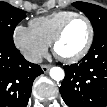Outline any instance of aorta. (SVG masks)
Wrapping results in <instances>:
<instances>
[{
  "instance_id": "obj_1",
  "label": "aorta",
  "mask_w": 107,
  "mask_h": 107,
  "mask_svg": "<svg viewBox=\"0 0 107 107\" xmlns=\"http://www.w3.org/2000/svg\"><path fill=\"white\" fill-rule=\"evenodd\" d=\"M49 74H50V77L56 81L63 80L65 76L64 70L60 67H52L50 69Z\"/></svg>"
}]
</instances>
